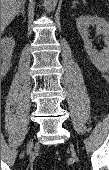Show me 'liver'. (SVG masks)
I'll use <instances>...</instances> for the list:
<instances>
[{
  "label": "liver",
  "mask_w": 109,
  "mask_h": 170,
  "mask_svg": "<svg viewBox=\"0 0 109 170\" xmlns=\"http://www.w3.org/2000/svg\"><path fill=\"white\" fill-rule=\"evenodd\" d=\"M24 0H1V29L4 30L21 8Z\"/></svg>",
  "instance_id": "6515ba94"
}]
</instances>
